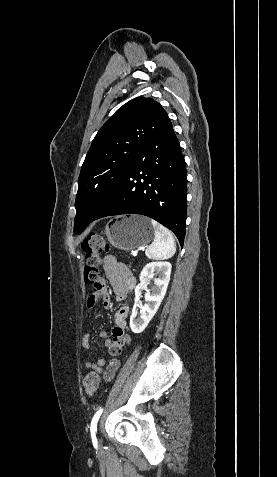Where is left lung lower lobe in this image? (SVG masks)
Listing matches in <instances>:
<instances>
[{
    "label": "left lung lower lobe",
    "instance_id": "1",
    "mask_svg": "<svg viewBox=\"0 0 277 477\" xmlns=\"http://www.w3.org/2000/svg\"><path fill=\"white\" fill-rule=\"evenodd\" d=\"M120 214L148 216L174 232L183 245L187 175L184 157L171 122L148 141L129 163L105 205L92 221Z\"/></svg>",
    "mask_w": 277,
    "mask_h": 477
}]
</instances>
